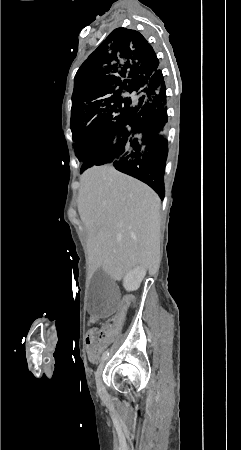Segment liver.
Wrapping results in <instances>:
<instances>
[{
  "instance_id": "1",
  "label": "liver",
  "mask_w": 241,
  "mask_h": 450,
  "mask_svg": "<svg viewBox=\"0 0 241 450\" xmlns=\"http://www.w3.org/2000/svg\"><path fill=\"white\" fill-rule=\"evenodd\" d=\"M161 200L149 186L94 166L80 176L78 212L88 230L91 274L102 268L112 280L143 266L153 276L160 264Z\"/></svg>"
}]
</instances>
